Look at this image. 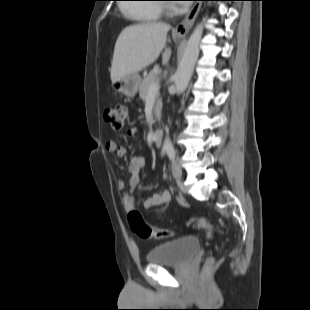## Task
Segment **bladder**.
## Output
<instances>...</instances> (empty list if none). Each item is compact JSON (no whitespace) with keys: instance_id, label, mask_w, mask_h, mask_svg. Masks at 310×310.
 <instances>
[{"instance_id":"1","label":"bladder","mask_w":310,"mask_h":310,"mask_svg":"<svg viewBox=\"0 0 310 310\" xmlns=\"http://www.w3.org/2000/svg\"><path fill=\"white\" fill-rule=\"evenodd\" d=\"M199 248L196 238L185 236L156 245L147 253L146 258L150 264L181 266L191 261Z\"/></svg>"}]
</instances>
